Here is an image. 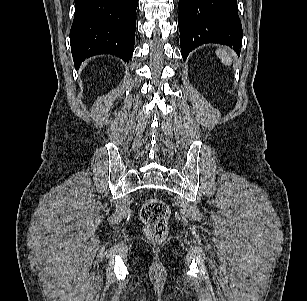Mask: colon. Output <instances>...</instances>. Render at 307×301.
Returning <instances> with one entry per match:
<instances>
[{"mask_svg": "<svg viewBox=\"0 0 307 301\" xmlns=\"http://www.w3.org/2000/svg\"><path fill=\"white\" fill-rule=\"evenodd\" d=\"M169 215V207L161 199L152 198L143 204L140 217L146 226L145 232L149 239L159 242L166 237Z\"/></svg>", "mask_w": 307, "mask_h": 301, "instance_id": "obj_1", "label": "colon"}]
</instances>
